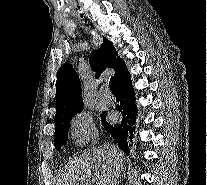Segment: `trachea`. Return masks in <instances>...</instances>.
Returning a JSON list of instances; mask_svg holds the SVG:
<instances>
[{
  "label": "trachea",
  "mask_w": 207,
  "mask_h": 185,
  "mask_svg": "<svg viewBox=\"0 0 207 185\" xmlns=\"http://www.w3.org/2000/svg\"><path fill=\"white\" fill-rule=\"evenodd\" d=\"M109 85H110V89H111V91H112L114 94H118V93H119L118 90H117V87H116V85H115L114 78H111V79H110V83H109Z\"/></svg>",
  "instance_id": "obj_1"
}]
</instances>
